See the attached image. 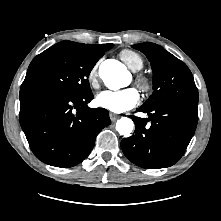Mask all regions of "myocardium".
<instances>
[{
	"instance_id": "1",
	"label": "myocardium",
	"mask_w": 221,
	"mask_h": 221,
	"mask_svg": "<svg viewBox=\"0 0 221 221\" xmlns=\"http://www.w3.org/2000/svg\"><path fill=\"white\" fill-rule=\"evenodd\" d=\"M135 82L140 87V89L146 93L150 92L153 88V80L146 74L141 73L136 75Z\"/></svg>"
}]
</instances>
